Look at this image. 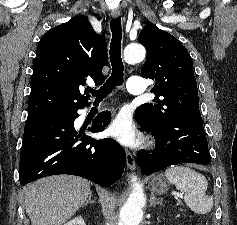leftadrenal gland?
Masks as SVG:
<instances>
[{"label": "left adrenal gland", "mask_w": 237, "mask_h": 225, "mask_svg": "<svg viewBox=\"0 0 237 225\" xmlns=\"http://www.w3.org/2000/svg\"><path fill=\"white\" fill-rule=\"evenodd\" d=\"M161 204H162V202L157 200L155 195L152 194L150 197V206L161 205Z\"/></svg>", "instance_id": "left-adrenal-gland-1"}]
</instances>
